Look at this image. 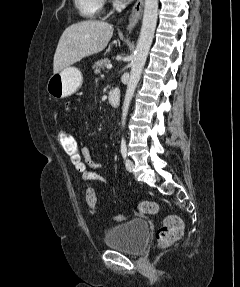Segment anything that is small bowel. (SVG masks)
Returning a JSON list of instances; mask_svg holds the SVG:
<instances>
[{"instance_id":"1","label":"small bowel","mask_w":240,"mask_h":287,"mask_svg":"<svg viewBox=\"0 0 240 287\" xmlns=\"http://www.w3.org/2000/svg\"><path fill=\"white\" fill-rule=\"evenodd\" d=\"M75 109H76V106L74 103L68 104L66 106V114L68 116H70L75 111ZM80 148H81V153H82L85 161L90 166V168H92V170L99 169L102 167L101 162L97 161L94 158V156L92 155V153L90 152V150L87 147L80 146ZM94 179H95V181H99V182L105 181V178L96 172H94Z\"/></svg>"}]
</instances>
